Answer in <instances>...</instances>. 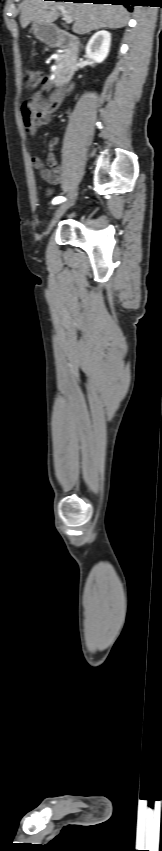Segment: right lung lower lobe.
Returning <instances> with one entry per match:
<instances>
[{
    "label": "right lung lower lobe",
    "instance_id": "obj_1",
    "mask_svg": "<svg viewBox=\"0 0 162 851\" xmlns=\"http://www.w3.org/2000/svg\"><path fill=\"white\" fill-rule=\"evenodd\" d=\"M57 1H64V0H57ZM133 1L134 0H73V2H83V3H94V4L111 3L113 5H115V4L124 5L126 8L129 9V11H131L132 6H134Z\"/></svg>",
    "mask_w": 162,
    "mask_h": 851
}]
</instances>
